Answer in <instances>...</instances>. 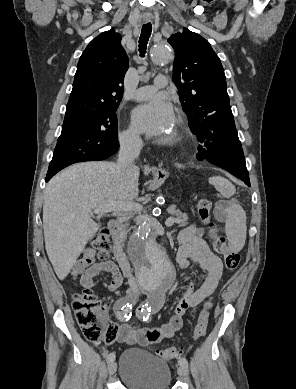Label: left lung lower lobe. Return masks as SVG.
Listing matches in <instances>:
<instances>
[{
    "label": "left lung lower lobe",
    "instance_id": "0a47b994",
    "mask_svg": "<svg viewBox=\"0 0 296 389\" xmlns=\"http://www.w3.org/2000/svg\"><path fill=\"white\" fill-rule=\"evenodd\" d=\"M198 130L196 158L207 160L240 178L250 186L244 153L235 127L231 107L206 117Z\"/></svg>",
    "mask_w": 296,
    "mask_h": 389
}]
</instances>
